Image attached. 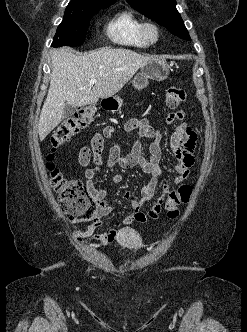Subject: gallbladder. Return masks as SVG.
<instances>
[{"mask_svg":"<svg viewBox=\"0 0 247 332\" xmlns=\"http://www.w3.org/2000/svg\"><path fill=\"white\" fill-rule=\"evenodd\" d=\"M76 108L69 105V104H66L65 107H64V112H63V116L65 118L71 116L74 112H75Z\"/></svg>","mask_w":247,"mask_h":332,"instance_id":"obj_1","label":"gallbladder"}]
</instances>
